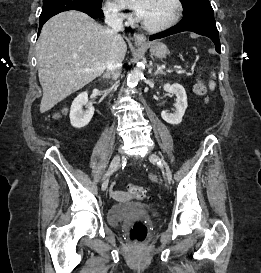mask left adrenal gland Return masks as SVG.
I'll use <instances>...</instances> for the list:
<instances>
[{"label": "left adrenal gland", "instance_id": "obj_1", "mask_svg": "<svg viewBox=\"0 0 261 273\" xmlns=\"http://www.w3.org/2000/svg\"><path fill=\"white\" fill-rule=\"evenodd\" d=\"M156 67H157V70L155 71L154 75H157V74H159V73L165 74V73L163 72L162 68H161L158 64L156 65Z\"/></svg>", "mask_w": 261, "mask_h": 273}]
</instances>
